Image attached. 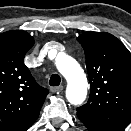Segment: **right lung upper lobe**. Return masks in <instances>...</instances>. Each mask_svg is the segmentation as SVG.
Here are the masks:
<instances>
[{
  "mask_svg": "<svg viewBox=\"0 0 131 131\" xmlns=\"http://www.w3.org/2000/svg\"><path fill=\"white\" fill-rule=\"evenodd\" d=\"M34 43L25 31L0 34V131H26L38 118L49 93L24 64Z\"/></svg>",
  "mask_w": 131,
  "mask_h": 131,
  "instance_id": "obj_1",
  "label": "right lung upper lobe"
}]
</instances>
